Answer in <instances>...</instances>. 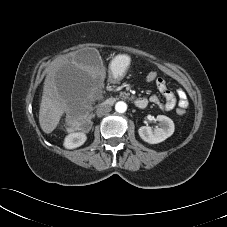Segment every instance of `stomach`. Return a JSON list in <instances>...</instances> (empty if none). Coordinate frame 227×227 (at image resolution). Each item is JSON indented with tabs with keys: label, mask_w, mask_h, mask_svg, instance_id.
<instances>
[{
	"label": "stomach",
	"mask_w": 227,
	"mask_h": 227,
	"mask_svg": "<svg viewBox=\"0 0 227 227\" xmlns=\"http://www.w3.org/2000/svg\"><path fill=\"white\" fill-rule=\"evenodd\" d=\"M130 65V57L122 54L116 56L110 66V74L115 79H121L125 76Z\"/></svg>",
	"instance_id": "obj_1"
}]
</instances>
